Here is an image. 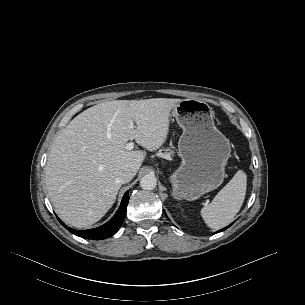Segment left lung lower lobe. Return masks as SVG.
<instances>
[{
  "instance_id": "0a47b994",
  "label": "left lung lower lobe",
  "mask_w": 305,
  "mask_h": 305,
  "mask_svg": "<svg viewBox=\"0 0 305 305\" xmlns=\"http://www.w3.org/2000/svg\"><path fill=\"white\" fill-rule=\"evenodd\" d=\"M230 226V225H229ZM229 226H227L226 228H224V229H221L220 231H223V230H225V229H227ZM220 231H218V232H220Z\"/></svg>"
}]
</instances>
